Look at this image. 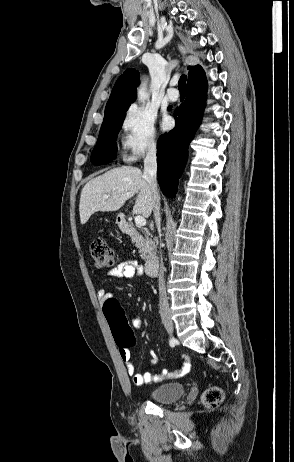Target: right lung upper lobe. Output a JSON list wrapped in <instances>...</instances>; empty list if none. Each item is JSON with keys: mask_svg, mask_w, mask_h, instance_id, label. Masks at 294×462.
I'll list each match as a JSON object with an SVG mask.
<instances>
[{"mask_svg": "<svg viewBox=\"0 0 294 462\" xmlns=\"http://www.w3.org/2000/svg\"><path fill=\"white\" fill-rule=\"evenodd\" d=\"M202 74H204V71L200 65L189 67L188 82ZM139 77L138 71L128 69L118 78L107 102L104 118L127 111L131 102L136 99V88L140 82Z\"/></svg>", "mask_w": 294, "mask_h": 462, "instance_id": "1", "label": "right lung upper lobe"}]
</instances>
